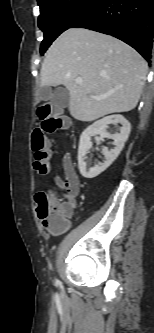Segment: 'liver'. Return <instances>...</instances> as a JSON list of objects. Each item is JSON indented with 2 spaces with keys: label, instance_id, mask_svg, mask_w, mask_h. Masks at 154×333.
<instances>
[{
  "label": "liver",
  "instance_id": "obj_1",
  "mask_svg": "<svg viewBox=\"0 0 154 333\" xmlns=\"http://www.w3.org/2000/svg\"><path fill=\"white\" fill-rule=\"evenodd\" d=\"M147 69L143 57L123 41L89 29L70 28L48 49L40 70V86L64 85L69 92L71 116L89 122L134 109ZM78 78L82 84L76 83Z\"/></svg>",
  "mask_w": 154,
  "mask_h": 333
}]
</instances>
